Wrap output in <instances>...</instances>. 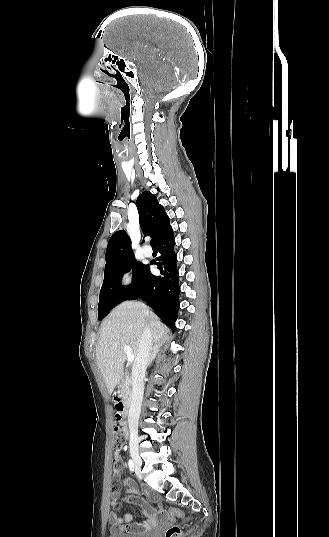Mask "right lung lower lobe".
<instances>
[{
  "label": "right lung lower lobe",
  "instance_id": "obj_1",
  "mask_svg": "<svg viewBox=\"0 0 329 537\" xmlns=\"http://www.w3.org/2000/svg\"><path fill=\"white\" fill-rule=\"evenodd\" d=\"M157 244L160 256L153 264L158 266L161 275L154 276L149 266L145 265L139 285L127 299L141 298L146 301L162 321L173 328L178 316L180 293L173 230L166 233Z\"/></svg>",
  "mask_w": 329,
  "mask_h": 537
}]
</instances>
